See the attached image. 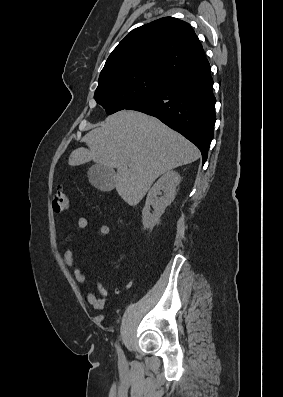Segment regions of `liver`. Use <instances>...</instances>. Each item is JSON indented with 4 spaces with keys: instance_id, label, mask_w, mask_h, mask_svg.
Wrapping results in <instances>:
<instances>
[{
    "instance_id": "liver-1",
    "label": "liver",
    "mask_w": 283,
    "mask_h": 397,
    "mask_svg": "<svg viewBox=\"0 0 283 397\" xmlns=\"http://www.w3.org/2000/svg\"><path fill=\"white\" fill-rule=\"evenodd\" d=\"M87 148H77L70 166L90 161L116 168L115 188L130 206L137 205L163 173L200 157L198 148L157 118L121 110L84 137Z\"/></svg>"
}]
</instances>
